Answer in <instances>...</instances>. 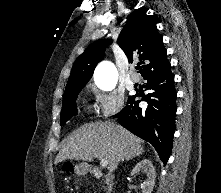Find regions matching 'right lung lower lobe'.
Returning a JSON list of instances; mask_svg holds the SVG:
<instances>
[{"mask_svg": "<svg viewBox=\"0 0 221 193\" xmlns=\"http://www.w3.org/2000/svg\"><path fill=\"white\" fill-rule=\"evenodd\" d=\"M144 79L150 93L141 100L146 101L148 107L140 108V98L130 96L127 106L114 117L120 119L124 128L150 142L166 165L172 150L177 111L174 75L168 66L149 73Z\"/></svg>", "mask_w": 221, "mask_h": 193, "instance_id": "right-lung-lower-lobe-1", "label": "right lung lower lobe"}]
</instances>
